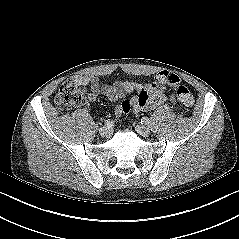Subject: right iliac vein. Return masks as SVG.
<instances>
[{
    "label": "right iliac vein",
    "instance_id": "right-iliac-vein-1",
    "mask_svg": "<svg viewBox=\"0 0 239 239\" xmlns=\"http://www.w3.org/2000/svg\"><path fill=\"white\" fill-rule=\"evenodd\" d=\"M99 133L103 137H109L111 135V129L108 127H101Z\"/></svg>",
    "mask_w": 239,
    "mask_h": 239
}]
</instances>
